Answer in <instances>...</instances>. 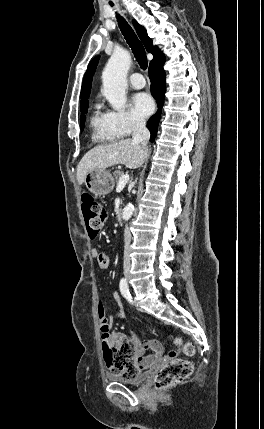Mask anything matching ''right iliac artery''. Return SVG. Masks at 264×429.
Here are the masks:
<instances>
[{
  "label": "right iliac artery",
  "instance_id": "82829eb1",
  "mask_svg": "<svg viewBox=\"0 0 264 429\" xmlns=\"http://www.w3.org/2000/svg\"><path fill=\"white\" fill-rule=\"evenodd\" d=\"M119 288H120V292L123 295V297L128 298L130 296L127 281L125 278H122L120 280Z\"/></svg>",
  "mask_w": 264,
  "mask_h": 429
}]
</instances>
